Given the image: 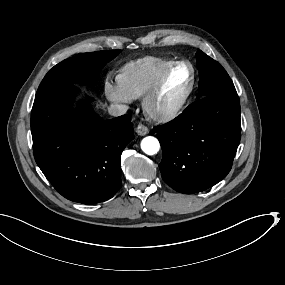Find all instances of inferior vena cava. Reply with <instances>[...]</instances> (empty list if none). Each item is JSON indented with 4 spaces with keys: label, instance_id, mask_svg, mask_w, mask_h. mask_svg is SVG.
<instances>
[{
    "label": "inferior vena cava",
    "instance_id": "602c4592",
    "mask_svg": "<svg viewBox=\"0 0 285 285\" xmlns=\"http://www.w3.org/2000/svg\"><path fill=\"white\" fill-rule=\"evenodd\" d=\"M128 110V106L118 103H113L108 108L109 114L115 117L124 115Z\"/></svg>",
    "mask_w": 285,
    "mask_h": 285
}]
</instances>
